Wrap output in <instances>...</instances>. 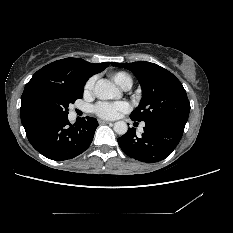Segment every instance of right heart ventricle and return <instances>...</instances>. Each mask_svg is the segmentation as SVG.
<instances>
[{"mask_svg": "<svg viewBox=\"0 0 233 233\" xmlns=\"http://www.w3.org/2000/svg\"><path fill=\"white\" fill-rule=\"evenodd\" d=\"M112 78L122 88L128 84L132 85L131 77L125 72H115L112 74Z\"/></svg>", "mask_w": 233, "mask_h": 233, "instance_id": "right-heart-ventricle-1", "label": "right heart ventricle"}]
</instances>
